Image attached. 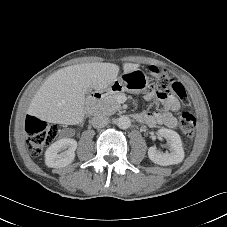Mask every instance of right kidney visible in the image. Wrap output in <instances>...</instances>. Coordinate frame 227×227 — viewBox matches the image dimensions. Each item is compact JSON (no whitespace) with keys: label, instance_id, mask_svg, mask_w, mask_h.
Listing matches in <instances>:
<instances>
[{"label":"right kidney","instance_id":"ca27d5eb","mask_svg":"<svg viewBox=\"0 0 227 227\" xmlns=\"http://www.w3.org/2000/svg\"><path fill=\"white\" fill-rule=\"evenodd\" d=\"M76 148L77 142L71 138H62L54 142L45 152V164L51 168H61L71 164L75 158Z\"/></svg>","mask_w":227,"mask_h":227}]
</instances>
